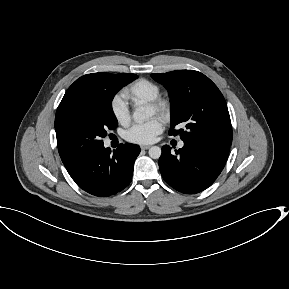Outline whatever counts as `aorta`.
Here are the masks:
<instances>
[{
    "label": "aorta",
    "mask_w": 289,
    "mask_h": 289,
    "mask_svg": "<svg viewBox=\"0 0 289 289\" xmlns=\"http://www.w3.org/2000/svg\"><path fill=\"white\" fill-rule=\"evenodd\" d=\"M152 115V112L146 108V107H138L135 109L134 113H133V119L135 122L137 123H142L144 121H146L147 119H149ZM149 156L153 159H159L161 156V148L158 146H152L149 149Z\"/></svg>",
    "instance_id": "1"
}]
</instances>
